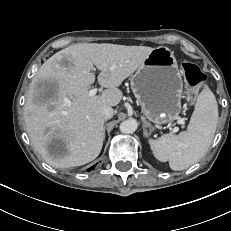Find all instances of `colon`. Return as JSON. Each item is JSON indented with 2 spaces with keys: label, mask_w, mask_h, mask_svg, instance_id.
I'll return each instance as SVG.
<instances>
[{
  "label": "colon",
  "mask_w": 231,
  "mask_h": 231,
  "mask_svg": "<svg viewBox=\"0 0 231 231\" xmlns=\"http://www.w3.org/2000/svg\"><path fill=\"white\" fill-rule=\"evenodd\" d=\"M182 70L191 93L201 88L206 81L205 75L201 70L191 62L185 61L182 63Z\"/></svg>",
  "instance_id": "1"
}]
</instances>
